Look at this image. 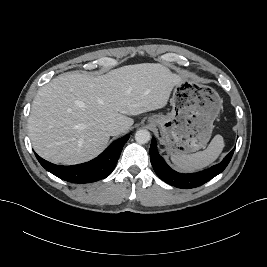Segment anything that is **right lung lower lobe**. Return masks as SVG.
Wrapping results in <instances>:
<instances>
[{"mask_svg": "<svg viewBox=\"0 0 267 267\" xmlns=\"http://www.w3.org/2000/svg\"><path fill=\"white\" fill-rule=\"evenodd\" d=\"M128 139L129 135H126L114 141L97 158L73 166H59L42 159L37 154L36 157L47 171L60 179L79 184L90 183L104 179L111 174Z\"/></svg>", "mask_w": 267, "mask_h": 267, "instance_id": "right-lung-lower-lobe-1", "label": "right lung lower lobe"}]
</instances>
